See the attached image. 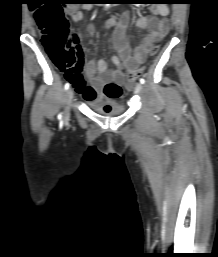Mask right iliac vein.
Returning <instances> with one entry per match:
<instances>
[{
    "label": "right iliac vein",
    "instance_id": "1",
    "mask_svg": "<svg viewBox=\"0 0 218 257\" xmlns=\"http://www.w3.org/2000/svg\"><path fill=\"white\" fill-rule=\"evenodd\" d=\"M73 98V90L72 89H68L67 93H66V107H65V114L64 117L67 118L69 113H70V103L71 100Z\"/></svg>",
    "mask_w": 218,
    "mask_h": 257
}]
</instances>
